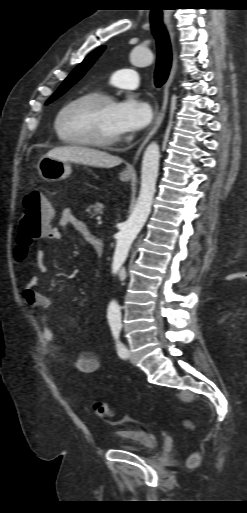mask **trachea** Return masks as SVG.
<instances>
[{"label":"trachea","mask_w":247,"mask_h":513,"mask_svg":"<svg viewBox=\"0 0 247 513\" xmlns=\"http://www.w3.org/2000/svg\"><path fill=\"white\" fill-rule=\"evenodd\" d=\"M151 28L157 44V63L155 69V85L162 86L168 76L172 64V50L168 32L161 19L151 17Z\"/></svg>","instance_id":"obj_1"}]
</instances>
